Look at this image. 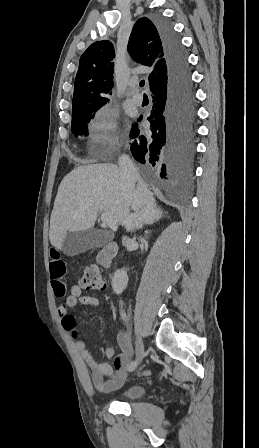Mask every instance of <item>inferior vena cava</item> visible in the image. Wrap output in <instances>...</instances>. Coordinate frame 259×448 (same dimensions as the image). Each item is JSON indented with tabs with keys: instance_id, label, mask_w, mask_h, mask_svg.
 <instances>
[{
	"instance_id": "602c4592",
	"label": "inferior vena cava",
	"mask_w": 259,
	"mask_h": 448,
	"mask_svg": "<svg viewBox=\"0 0 259 448\" xmlns=\"http://www.w3.org/2000/svg\"><path fill=\"white\" fill-rule=\"evenodd\" d=\"M119 168L121 174V182L125 186L126 190H133L135 182L139 180V174L130 160L129 156H122L119 160ZM130 240L123 238V246L129 244Z\"/></svg>"
}]
</instances>
